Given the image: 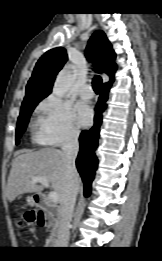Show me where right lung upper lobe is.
Instances as JSON below:
<instances>
[{
    "label": "right lung upper lobe",
    "instance_id": "right-lung-upper-lobe-1",
    "mask_svg": "<svg viewBox=\"0 0 162 261\" xmlns=\"http://www.w3.org/2000/svg\"><path fill=\"white\" fill-rule=\"evenodd\" d=\"M86 56L95 64L97 72L110 76V81L103 86H111L117 68L114 63L116 54L103 31L99 30L93 33L86 48ZM66 61L67 53L64 48L58 47L47 51L36 63L26 86L24 100L49 95L55 77Z\"/></svg>",
    "mask_w": 162,
    "mask_h": 261
}]
</instances>
